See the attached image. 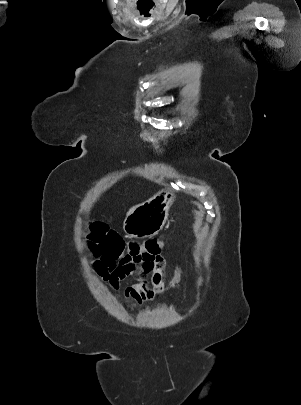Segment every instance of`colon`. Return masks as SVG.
I'll list each match as a JSON object with an SVG mask.
<instances>
[{"mask_svg":"<svg viewBox=\"0 0 301 405\" xmlns=\"http://www.w3.org/2000/svg\"><path fill=\"white\" fill-rule=\"evenodd\" d=\"M169 226L164 224L161 231H157L152 240L143 243L128 242L114 230H111L105 223L92 222L88 226V244L99 256L103 264L113 266L124 255L133 257L156 255L161 251V240L163 236L170 234Z\"/></svg>","mask_w":301,"mask_h":405,"instance_id":"colon-1","label":"colon"}]
</instances>
